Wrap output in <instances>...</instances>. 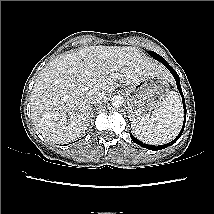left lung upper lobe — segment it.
Masks as SVG:
<instances>
[{
	"label": "left lung upper lobe",
	"mask_w": 214,
	"mask_h": 214,
	"mask_svg": "<svg viewBox=\"0 0 214 214\" xmlns=\"http://www.w3.org/2000/svg\"><path fill=\"white\" fill-rule=\"evenodd\" d=\"M149 55H151L154 59L158 60L159 62L162 63L164 60L159 54L153 52V51H148Z\"/></svg>",
	"instance_id": "1"
}]
</instances>
